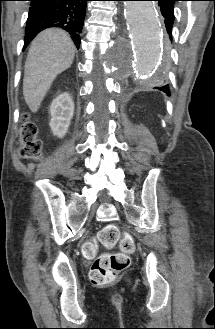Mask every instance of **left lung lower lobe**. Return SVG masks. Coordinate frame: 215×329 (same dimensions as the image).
<instances>
[{
  "mask_svg": "<svg viewBox=\"0 0 215 329\" xmlns=\"http://www.w3.org/2000/svg\"><path fill=\"white\" fill-rule=\"evenodd\" d=\"M158 1V5L160 6L161 13L165 19V26L166 31L172 41V27L174 22V3L179 0H155ZM155 89H158L167 95H170V89L169 85H160L159 87H155Z\"/></svg>",
  "mask_w": 215,
  "mask_h": 329,
  "instance_id": "1",
  "label": "left lung lower lobe"
}]
</instances>
